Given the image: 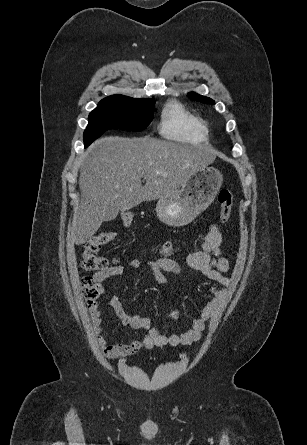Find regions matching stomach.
Segmentation results:
<instances>
[{
  "label": "stomach",
  "mask_w": 307,
  "mask_h": 445,
  "mask_svg": "<svg viewBox=\"0 0 307 445\" xmlns=\"http://www.w3.org/2000/svg\"><path fill=\"white\" fill-rule=\"evenodd\" d=\"M223 176L214 166H202L189 174L181 190L161 196L156 202V212L161 223L168 227H185L203 212L221 188Z\"/></svg>",
  "instance_id": "stomach-1"
}]
</instances>
